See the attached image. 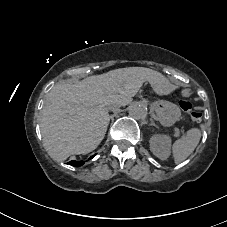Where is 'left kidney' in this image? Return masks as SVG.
<instances>
[{
  "label": "left kidney",
  "instance_id": "left-kidney-1",
  "mask_svg": "<svg viewBox=\"0 0 227 227\" xmlns=\"http://www.w3.org/2000/svg\"><path fill=\"white\" fill-rule=\"evenodd\" d=\"M151 152L161 160H166L171 154V137L163 134H155L150 138Z\"/></svg>",
  "mask_w": 227,
  "mask_h": 227
}]
</instances>
